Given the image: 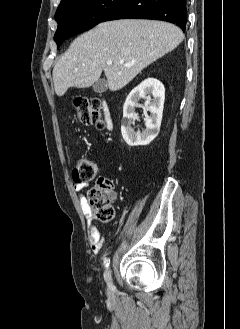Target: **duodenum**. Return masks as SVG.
<instances>
[{"label":"duodenum","mask_w":240,"mask_h":329,"mask_svg":"<svg viewBox=\"0 0 240 329\" xmlns=\"http://www.w3.org/2000/svg\"><path fill=\"white\" fill-rule=\"evenodd\" d=\"M103 110H104L105 119H106L108 128L111 129L112 128V120H111L110 113H109V107H108V104L106 102L103 103Z\"/></svg>","instance_id":"1"}]
</instances>
